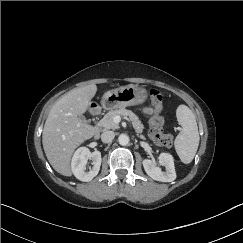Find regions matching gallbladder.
<instances>
[{
	"label": "gallbladder",
	"mask_w": 243,
	"mask_h": 243,
	"mask_svg": "<svg viewBox=\"0 0 243 243\" xmlns=\"http://www.w3.org/2000/svg\"><path fill=\"white\" fill-rule=\"evenodd\" d=\"M80 118H81L82 121H84V122L86 121L84 116L81 115Z\"/></svg>",
	"instance_id": "gallbladder-1"
}]
</instances>
